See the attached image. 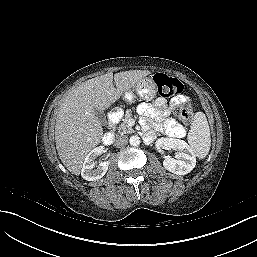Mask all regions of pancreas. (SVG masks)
I'll use <instances>...</instances> for the list:
<instances>
[{"label": "pancreas", "instance_id": "cf45deb5", "mask_svg": "<svg viewBox=\"0 0 257 257\" xmlns=\"http://www.w3.org/2000/svg\"><path fill=\"white\" fill-rule=\"evenodd\" d=\"M130 116H131V114L128 113L125 116V118L123 119V122L119 125V127H118L119 134H130L134 131L132 129V127L128 126V120H129Z\"/></svg>", "mask_w": 257, "mask_h": 257}]
</instances>
